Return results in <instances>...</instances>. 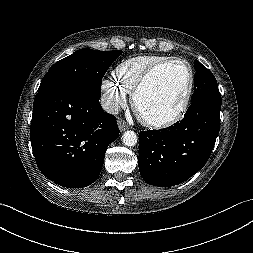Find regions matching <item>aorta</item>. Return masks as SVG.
<instances>
[{"instance_id":"aorta-1","label":"aorta","mask_w":253,"mask_h":253,"mask_svg":"<svg viewBox=\"0 0 253 253\" xmlns=\"http://www.w3.org/2000/svg\"><path fill=\"white\" fill-rule=\"evenodd\" d=\"M122 141L126 146L132 147L136 145L138 137L134 131H126L122 137Z\"/></svg>"}]
</instances>
